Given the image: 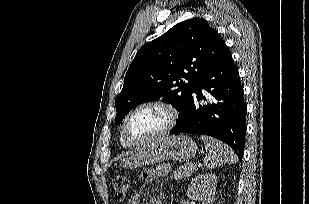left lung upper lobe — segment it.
Masks as SVG:
<instances>
[{"label": "left lung upper lobe", "mask_w": 309, "mask_h": 204, "mask_svg": "<svg viewBox=\"0 0 309 204\" xmlns=\"http://www.w3.org/2000/svg\"><path fill=\"white\" fill-rule=\"evenodd\" d=\"M226 48L218 32L203 18L182 21L144 45L132 61L123 89L115 99V124L148 101H167L180 112L202 74L221 58Z\"/></svg>", "instance_id": "obj_1"}]
</instances>
